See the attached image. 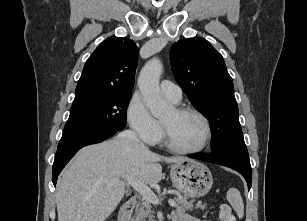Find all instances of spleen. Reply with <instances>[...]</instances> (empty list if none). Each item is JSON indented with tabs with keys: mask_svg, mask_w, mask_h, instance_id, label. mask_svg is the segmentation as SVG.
<instances>
[{
	"mask_svg": "<svg viewBox=\"0 0 307 221\" xmlns=\"http://www.w3.org/2000/svg\"><path fill=\"white\" fill-rule=\"evenodd\" d=\"M227 200L235 210L237 216L241 219L244 216V203L241 197L240 192L235 189L231 188L227 192Z\"/></svg>",
	"mask_w": 307,
	"mask_h": 221,
	"instance_id": "obj_1",
	"label": "spleen"
}]
</instances>
